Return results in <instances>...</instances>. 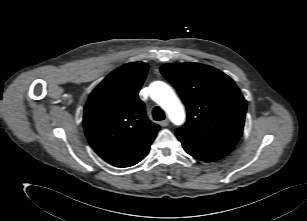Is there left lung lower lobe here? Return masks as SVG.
<instances>
[{
	"mask_svg": "<svg viewBox=\"0 0 307 221\" xmlns=\"http://www.w3.org/2000/svg\"><path fill=\"white\" fill-rule=\"evenodd\" d=\"M177 138L181 141L184 150L193 157L206 161H217L228 155L235 145L226 143H215L199 139L190 138L176 133Z\"/></svg>",
	"mask_w": 307,
	"mask_h": 221,
	"instance_id": "0a47b994",
	"label": "left lung lower lobe"
}]
</instances>
